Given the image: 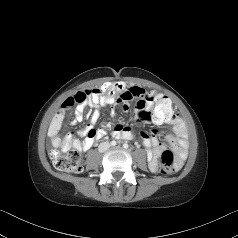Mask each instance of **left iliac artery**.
<instances>
[{
	"mask_svg": "<svg viewBox=\"0 0 238 238\" xmlns=\"http://www.w3.org/2000/svg\"><path fill=\"white\" fill-rule=\"evenodd\" d=\"M123 147H124L125 149H127V148L129 147V145H128L127 143H124V144H123Z\"/></svg>",
	"mask_w": 238,
	"mask_h": 238,
	"instance_id": "left-iliac-artery-1",
	"label": "left iliac artery"
}]
</instances>
